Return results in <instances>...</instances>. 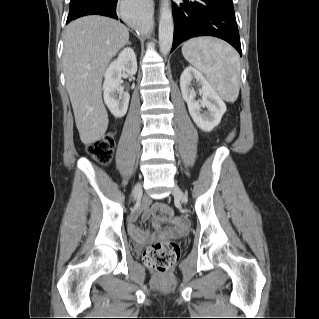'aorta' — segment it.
<instances>
[{"label":"aorta","instance_id":"aorta-1","mask_svg":"<svg viewBox=\"0 0 319 319\" xmlns=\"http://www.w3.org/2000/svg\"><path fill=\"white\" fill-rule=\"evenodd\" d=\"M142 28L147 29L146 24H140ZM173 16L169 0H162L160 7L159 20V47L162 55H167L172 47L173 42Z\"/></svg>","mask_w":319,"mask_h":319}]
</instances>
